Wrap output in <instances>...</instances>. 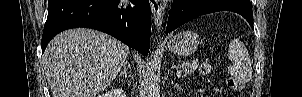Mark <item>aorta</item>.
Wrapping results in <instances>:
<instances>
[{"instance_id": "1", "label": "aorta", "mask_w": 302, "mask_h": 97, "mask_svg": "<svg viewBox=\"0 0 302 97\" xmlns=\"http://www.w3.org/2000/svg\"><path fill=\"white\" fill-rule=\"evenodd\" d=\"M151 72L149 73V84H148V97H159L160 88L158 85V76L156 75L157 59H151Z\"/></svg>"}]
</instances>
